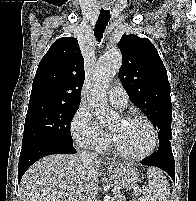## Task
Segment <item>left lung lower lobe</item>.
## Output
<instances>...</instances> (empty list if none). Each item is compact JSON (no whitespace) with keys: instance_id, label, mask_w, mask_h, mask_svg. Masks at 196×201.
<instances>
[{"instance_id":"1","label":"left lung lower lobe","mask_w":196,"mask_h":201,"mask_svg":"<svg viewBox=\"0 0 196 201\" xmlns=\"http://www.w3.org/2000/svg\"><path fill=\"white\" fill-rule=\"evenodd\" d=\"M142 163L143 165L155 166L166 171L175 182V161L170 141L160 143L157 152L145 158Z\"/></svg>"}]
</instances>
